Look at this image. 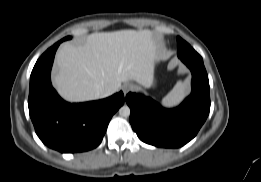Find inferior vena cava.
I'll return each instance as SVG.
<instances>
[{
  "instance_id": "602c4592",
  "label": "inferior vena cava",
  "mask_w": 261,
  "mask_h": 182,
  "mask_svg": "<svg viewBox=\"0 0 261 182\" xmlns=\"http://www.w3.org/2000/svg\"><path fill=\"white\" fill-rule=\"evenodd\" d=\"M113 93V91L111 89H106L101 93L102 97H107L109 95H111Z\"/></svg>"
}]
</instances>
